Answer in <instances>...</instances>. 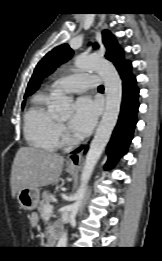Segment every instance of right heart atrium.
I'll return each mask as SVG.
<instances>
[{
	"label": "right heart atrium",
	"instance_id": "d8ad5b80",
	"mask_svg": "<svg viewBox=\"0 0 162 261\" xmlns=\"http://www.w3.org/2000/svg\"><path fill=\"white\" fill-rule=\"evenodd\" d=\"M59 132H60V134L63 138L66 137V131H65V128L63 126H59Z\"/></svg>",
	"mask_w": 162,
	"mask_h": 261
}]
</instances>
